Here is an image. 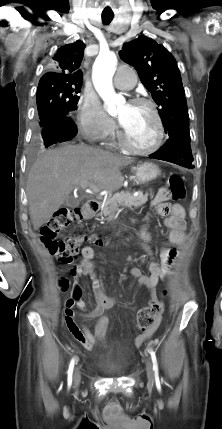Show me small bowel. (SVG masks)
Here are the masks:
<instances>
[{"label":"small bowel","instance_id":"c3829d8e","mask_svg":"<svg viewBox=\"0 0 222 429\" xmlns=\"http://www.w3.org/2000/svg\"><path fill=\"white\" fill-rule=\"evenodd\" d=\"M156 212L164 217V225L167 228L165 241L171 244H182L185 239V210L180 204H170L161 195V190L156 194L152 202ZM148 220L146 217L145 221ZM151 240L150 233L146 230L145 225L139 232V244L150 257L149 275L143 274L139 267H131L129 274L138 279L141 287L146 288L150 293H154L158 283L164 280L169 272V267L177 256V251L164 245L160 248L159 261L154 257L153 251L149 245ZM82 257L80 262L75 265L70 273L76 280L70 298L65 302L64 321L72 336L81 343L86 349H93L97 344L104 346L108 332L113 325L108 319L100 318L94 333H90L85 326L79 325L76 321V312H81L85 318H98L104 312L110 309L115 299L110 295L103 284V281L92 262L95 257V251L90 246H84L81 251ZM87 276L91 281L92 291L96 301V306L92 310H86L82 298L81 289L77 280ZM156 330V326L144 331L134 339V345L139 346L148 340Z\"/></svg>","mask_w":222,"mask_h":429}]
</instances>
